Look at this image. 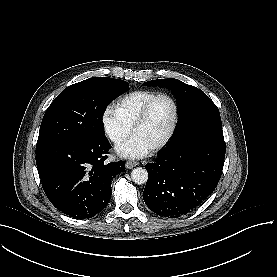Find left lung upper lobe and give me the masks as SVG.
Listing matches in <instances>:
<instances>
[{
  "instance_id": "obj_1",
  "label": "left lung upper lobe",
  "mask_w": 277,
  "mask_h": 277,
  "mask_svg": "<svg viewBox=\"0 0 277 277\" xmlns=\"http://www.w3.org/2000/svg\"><path fill=\"white\" fill-rule=\"evenodd\" d=\"M143 85L165 87L172 90L177 98L178 122L172 138L163 150L181 142L185 137L202 128L222 131L219 110L202 90L177 79L152 80L143 83ZM224 158L225 153L223 151L211 148L208 151L202 150L198 159L180 160L179 168L186 174L198 175L200 171L207 173L198 167L199 161L224 162ZM219 178L220 176L216 175L210 176L209 179Z\"/></svg>"
}]
</instances>
